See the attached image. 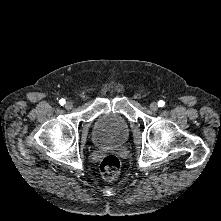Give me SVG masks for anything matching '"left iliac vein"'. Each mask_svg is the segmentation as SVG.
I'll use <instances>...</instances> for the list:
<instances>
[{"label":"left iliac vein","mask_w":221,"mask_h":221,"mask_svg":"<svg viewBox=\"0 0 221 221\" xmlns=\"http://www.w3.org/2000/svg\"><path fill=\"white\" fill-rule=\"evenodd\" d=\"M149 107L152 111H157L159 108V106L156 102H152Z\"/></svg>","instance_id":"obj_1"}]
</instances>
